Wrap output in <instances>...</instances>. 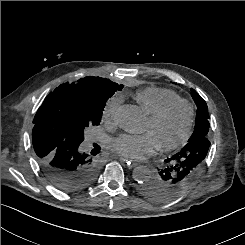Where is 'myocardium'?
<instances>
[{"label": "myocardium", "instance_id": "myocardium-1", "mask_svg": "<svg viewBox=\"0 0 245 245\" xmlns=\"http://www.w3.org/2000/svg\"><path fill=\"white\" fill-rule=\"evenodd\" d=\"M177 105L185 106L187 108V111H188V119H187L185 130H184L183 134L181 135V137L178 140H176L175 142L170 143V144H164V145L157 146V148L160 150L172 151V150L178 149L181 146H183L191 136L193 126H194V122H195L196 113H195L194 105L189 100L178 98V99H174L172 101H169L166 104H164L162 107H160L157 111L150 114L149 120L153 123L158 122L173 107H175Z\"/></svg>", "mask_w": 245, "mask_h": 245}]
</instances>
